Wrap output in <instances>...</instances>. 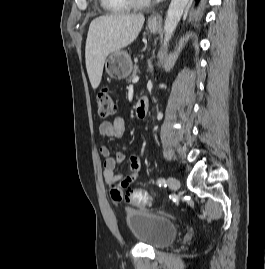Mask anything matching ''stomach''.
<instances>
[{"instance_id":"obj_1","label":"stomach","mask_w":265,"mask_h":269,"mask_svg":"<svg viewBox=\"0 0 265 269\" xmlns=\"http://www.w3.org/2000/svg\"><path fill=\"white\" fill-rule=\"evenodd\" d=\"M148 28L150 32L156 33L159 30V24L149 21ZM105 69L113 79L121 80L126 78L132 71V61L129 54L126 51L112 53L105 63Z\"/></svg>"}]
</instances>
